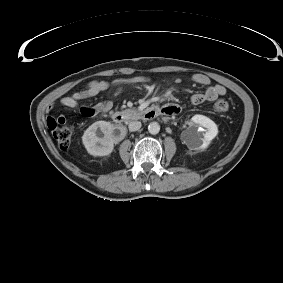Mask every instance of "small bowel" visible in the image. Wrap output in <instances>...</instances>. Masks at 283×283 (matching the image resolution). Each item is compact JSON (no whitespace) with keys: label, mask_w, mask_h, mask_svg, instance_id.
<instances>
[{"label":"small bowel","mask_w":283,"mask_h":283,"mask_svg":"<svg viewBox=\"0 0 283 283\" xmlns=\"http://www.w3.org/2000/svg\"><path fill=\"white\" fill-rule=\"evenodd\" d=\"M148 81L145 76H134L129 78H118L113 81L106 80H94L86 84L82 89L64 96L60 99V104L67 108L76 109L79 108V102L83 99L94 97L111 87H122L128 84H144ZM192 81L201 87H204L203 92L194 93L191 96V102L195 105L202 104L204 102L214 101L218 97L225 95L226 89L221 85H210V79L203 74H194L192 76ZM112 103L110 101H105L99 103L95 106H83L81 107V112L86 117H93L98 114H105L110 111ZM53 105L49 107L51 111ZM163 112L167 115H174L179 112L176 106L168 105L165 106ZM66 121L65 117L60 115L58 117H47V125L51 129L56 124H64Z\"/></svg>","instance_id":"obj_1"}]
</instances>
